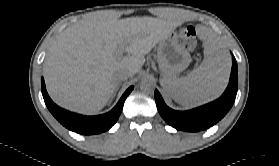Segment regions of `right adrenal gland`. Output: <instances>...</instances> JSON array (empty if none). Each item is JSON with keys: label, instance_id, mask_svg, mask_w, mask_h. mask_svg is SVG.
Returning a JSON list of instances; mask_svg holds the SVG:
<instances>
[{"label": "right adrenal gland", "instance_id": "obj_1", "mask_svg": "<svg viewBox=\"0 0 279 166\" xmlns=\"http://www.w3.org/2000/svg\"><path fill=\"white\" fill-rule=\"evenodd\" d=\"M119 87H120V84H118L117 86H116V89H115V91H114V95H115V93L117 92V90L119 89ZM113 95V96H114Z\"/></svg>", "mask_w": 279, "mask_h": 166}]
</instances>
